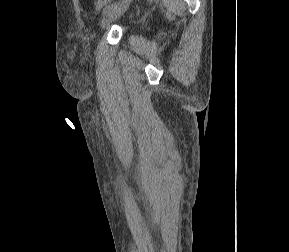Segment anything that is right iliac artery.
Masks as SVG:
<instances>
[{
  "mask_svg": "<svg viewBox=\"0 0 289 252\" xmlns=\"http://www.w3.org/2000/svg\"><path fill=\"white\" fill-rule=\"evenodd\" d=\"M118 4H119V2H115V3H112L111 5H108L107 7L104 8L103 14H106V13L110 12L115 7H117Z\"/></svg>",
  "mask_w": 289,
  "mask_h": 252,
  "instance_id": "right-iliac-artery-1",
  "label": "right iliac artery"
}]
</instances>
